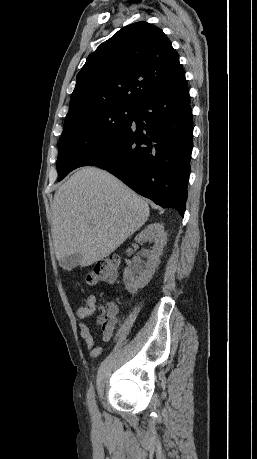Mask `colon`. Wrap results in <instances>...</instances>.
Listing matches in <instances>:
<instances>
[{"label": "colon", "instance_id": "colon-1", "mask_svg": "<svg viewBox=\"0 0 257 459\" xmlns=\"http://www.w3.org/2000/svg\"><path fill=\"white\" fill-rule=\"evenodd\" d=\"M118 260L115 257H108L97 262L85 276L88 285L99 282H111L116 278ZM103 313L107 312V306H99Z\"/></svg>", "mask_w": 257, "mask_h": 459}]
</instances>
